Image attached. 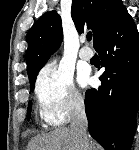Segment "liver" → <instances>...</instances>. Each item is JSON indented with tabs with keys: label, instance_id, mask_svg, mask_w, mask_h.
I'll return each instance as SVG.
<instances>
[{
	"label": "liver",
	"instance_id": "1",
	"mask_svg": "<svg viewBox=\"0 0 139 150\" xmlns=\"http://www.w3.org/2000/svg\"><path fill=\"white\" fill-rule=\"evenodd\" d=\"M79 145L70 128H58L48 134L34 137L27 150H78ZM95 145L88 139V150H95Z\"/></svg>",
	"mask_w": 139,
	"mask_h": 150
}]
</instances>
